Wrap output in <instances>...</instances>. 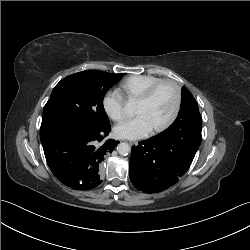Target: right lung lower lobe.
Returning a JSON list of instances; mask_svg holds the SVG:
<instances>
[{"label":"right lung lower lobe","mask_w":250,"mask_h":250,"mask_svg":"<svg viewBox=\"0 0 250 250\" xmlns=\"http://www.w3.org/2000/svg\"><path fill=\"white\" fill-rule=\"evenodd\" d=\"M111 131L110 125L91 128L58 123L41 129L40 139L49 168L56 178L72 189L90 190L100 183V169L105 155L118 144L101 141Z\"/></svg>","instance_id":"obj_1"}]
</instances>
